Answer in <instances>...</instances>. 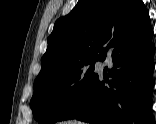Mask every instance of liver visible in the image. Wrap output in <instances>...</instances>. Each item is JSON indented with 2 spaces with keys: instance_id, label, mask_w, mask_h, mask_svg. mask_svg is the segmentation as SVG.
Returning a JSON list of instances; mask_svg holds the SVG:
<instances>
[{
  "instance_id": "obj_1",
  "label": "liver",
  "mask_w": 156,
  "mask_h": 124,
  "mask_svg": "<svg viewBox=\"0 0 156 124\" xmlns=\"http://www.w3.org/2000/svg\"><path fill=\"white\" fill-rule=\"evenodd\" d=\"M66 124H83L78 121H68Z\"/></svg>"
}]
</instances>
